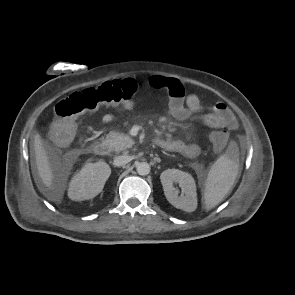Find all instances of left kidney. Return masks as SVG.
I'll list each match as a JSON object with an SVG mask.
<instances>
[{"label":"left kidney","instance_id":"1","mask_svg":"<svg viewBox=\"0 0 295 295\" xmlns=\"http://www.w3.org/2000/svg\"><path fill=\"white\" fill-rule=\"evenodd\" d=\"M161 183L164 189V194L175 208L186 212H193L197 207L196 184L193 177L178 169H167L160 175ZM174 184H179L181 188V196L179 190L174 187Z\"/></svg>","mask_w":295,"mask_h":295}]
</instances>
